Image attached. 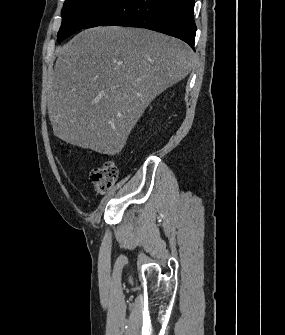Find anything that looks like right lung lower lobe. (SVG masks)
<instances>
[{"mask_svg": "<svg viewBox=\"0 0 285 335\" xmlns=\"http://www.w3.org/2000/svg\"><path fill=\"white\" fill-rule=\"evenodd\" d=\"M194 1L115 0L83 28L102 25L146 28L179 38L194 49Z\"/></svg>", "mask_w": 285, "mask_h": 335, "instance_id": "obj_1", "label": "right lung lower lobe"}]
</instances>
